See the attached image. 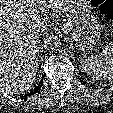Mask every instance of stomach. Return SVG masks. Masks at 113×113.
<instances>
[{"label": "stomach", "instance_id": "obj_1", "mask_svg": "<svg viewBox=\"0 0 113 113\" xmlns=\"http://www.w3.org/2000/svg\"><path fill=\"white\" fill-rule=\"evenodd\" d=\"M62 31L79 51L92 50L100 39L103 25L92 12L88 0H65Z\"/></svg>", "mask_w": 113, "mask_h": 113}]
</instances>
